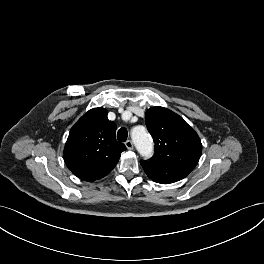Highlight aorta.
<instances>
[{"instance_id": "762f6f07", "label": "aorta", "mask_w": 264, "mask_h": 264, "mask_svg": "<svg viewBox=\"0 0 264 264\" xmlns=\"http://www.w3.org/2000/svg\"><path fill=\"white\" fill-rule=\"evenodd\" d=\"M131 137L135 147L144 158H149L153 154V142L144 127H136L131 131Z\"/></svg>"}]
</instances>
